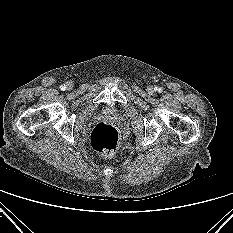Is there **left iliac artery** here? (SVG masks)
Here are the masks:
<instances>
[{"label": "left iliac artery", "instance_id": "44dca946", "mask_svg": "<svg viewBox=\"0 0 233 233\" xmlns=\"http://www.w3.org/2000/svg\"><path fill=\"white\" fill-rule=\"evenodd\" d=\"M158 92H162V89L161 88H157L156 89Z\"/></svg>", "mask_w": 233, "mask_h": 233}]
</instances>
